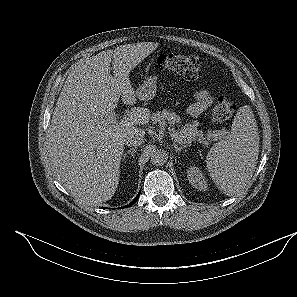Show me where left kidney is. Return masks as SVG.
I'll use <instances>...</instances> for the list:
<instances>
[{
    "label": "left kidney",
    "instance_id": "1",
    "mask_svg": "<svg viewBox=\"0 0 297 297\" xmlns=\"http://www.w3.org/2000/svg\"><path fill=\"white\" fill-rule=\"evenodd\" d=\"M189 183L197 190L206 191L208 188L207 181L198 167L191 166L187 170Z\"/></svg>",
    "mask_w": 297,
    "mask_h": 297
}]
</instances>
